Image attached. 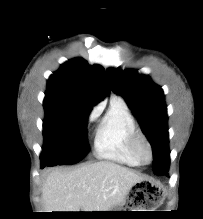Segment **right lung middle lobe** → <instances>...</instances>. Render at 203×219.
Returning <instances> with one entry per match:
<instances>
[{"label":"right lung middle lobe","mask_w":203,"mask_h":219,"mask_svg":"<svg viewBox=\"0 0 203 219\" xmlns=\"http://www.w3.org/2000/svg\"><path fill=\"white\" fill-rule=\"evenodd\" d=\"M41 166L74 164L88 151L86 124L91 106L66 97L46 94Z\"/></svg>","instance_id":"1"}]
</instances>
